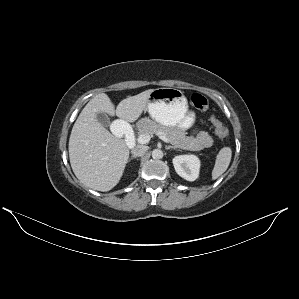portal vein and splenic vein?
<instances>
[{"mask_svg":"<svg viewBox=\"0 0 299 299\" xmlns=\"http://www.w3.org/2000/svg\"><path fill=\"white\" fill-rule=\"evenodd\" d=\"M158 136L162 141H164L166 143H170L169 139L167 137H165L164 135L158 134ZM150 139H151V136L149 134H141L138 136L137 142L140 144H146L150 141Z\"/></svg>","mask_w":299,"mask_h":299,"instance_id":"obj_1","label":"portal vein and splenic vein"}]
</instances>
